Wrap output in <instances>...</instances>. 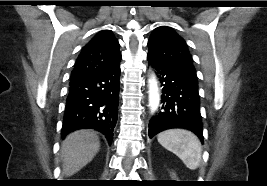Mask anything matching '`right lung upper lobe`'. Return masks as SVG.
<instances>
[{
    "label": "right lung upper lobe",
    "mask_w": 267,
    "mask_h": 186,
    "mask_svg": "<svg viewBox=\"0 0 267 186\" xmlns=\"http://www.w3.org/2000/svg\"><path fill=\"white\" fill-rule=\"evenodd\" d=\"M120 60L121 53L117 39L110 31L102 30L82 48L71 77L118 64Z\"/></svg>",
    "instance_id": "obj_1"
}]
</instances>
